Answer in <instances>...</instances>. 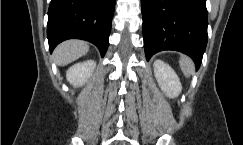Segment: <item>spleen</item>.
<instances>
[{"label":"spleen","instance_id":"obj_1","mask_svg":"<svg viewBox=\"0 0 243 145\" xmlns=\"http://www.w3.org/2000/svg\"><path fill=\"white\" fill-rule=\"evenodd\" d=\"M179 63H180L181 70L186 77H189L190 75L193 74L194 64L189 57L182 56L180 58Z\"/></svg>","mask_w":243,"mask_h":145}]
</instances>
